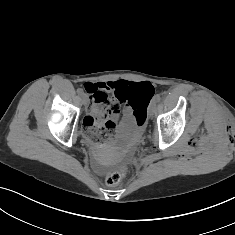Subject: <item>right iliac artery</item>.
<instances>
[{
  "label": "right iliac artery",
  "instance_id": "obj_1",
  "mask_svg": "<svg viewBox=\"0 0 235 235\" xmlns=\"http://www.w3.org/2000/svg\"><path fill=\"white\" fill-rule=\"evenodd\" d=\"M77 93H78L79 95H83V94H84V92H83V90H82L81 88L77 89Z\"/></svg>",
  "mask_w": 235,
  "mask_h": 235
}]
</instances>
